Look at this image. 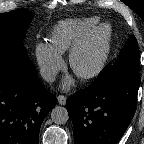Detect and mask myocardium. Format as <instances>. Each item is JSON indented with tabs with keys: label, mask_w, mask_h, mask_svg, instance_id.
Segmentation results:
<instances>
[{
	"label": "myocardium",
	"mask_w": 144,
	"mask_h": 144,
	"mask_svg": "<svg viewBox=\"0 0 144 144\" xmlns=\"http://www.w3.org/2000/svg\"><path fill=\"white\" fill-rule=\"evenodd\" d=\"M97 37H101L103 45L99 59L91 68L85 71H79L76 68V60L78 56L87 47V45ZM111 49H112L111 27L108 24H100L91 29L90 31H88L86 34H84L72 45L68 56L69 66L81 80H89L94 77H97L104 70L111 53Z\"/></svg>",
	"instance_id": "obj_1"
}]
</instances>
